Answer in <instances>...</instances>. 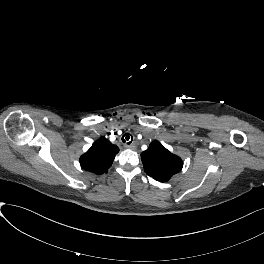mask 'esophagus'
<instances>
[{"label": "esophagus", "instance_id": "obj_1", "mask_svg": "<svg viewBox=\"0 0 264 264\" xmlns=\"http://www.w3.org/2000/svg\"><path fill=\"white\" fill-rule=\"evenodd\" d=\"M125 148L134 150L136 149V145L134 143L128 144V145H125Z\"/></svg>", "mask_w": 264, "mask_h": 264}]
</instances>
